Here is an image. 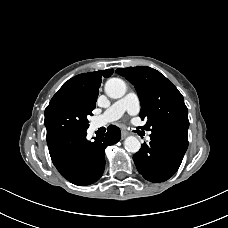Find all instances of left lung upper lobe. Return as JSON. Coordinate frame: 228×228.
I'll use <instances>...</instances> for the list:
<instances>
[{
	"instance_id": "5c2ea615",
	"label": "left lung upper lobe",
	"mask_w": 228,
	"mask_h": 228,
	"mask_svg": "<svg viewBox=\"0 0 228 228\" xmlns=\"http://www.w3.org/2000/svg\"><path fill=\"white\" fill-rule=\"evenodd\" d=\"M116 72L131 82L141 102L140 117L144 128H175L188 131V110L177 88L159 71L146 67L119 68Z\"/></svg>"
}]
</instances>
